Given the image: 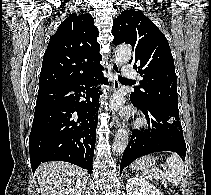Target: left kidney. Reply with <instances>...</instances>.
I'll return each instance as SVG.
<instances>
[{"label": "left kidney", "mask_w": 211, "mask_h": 195, "mask_svg": "<svg viewBox=\"0 0 211 195\" xmlns=\"http://www.w3.org/2000/svg\"><path fill=\"white\" fill-rule=\"evenodd\" d=\"M127 195H163L154 185L139 177L127 180Z\"/></svg>", "instance_id": "left-kidney-1"}]
</instances>
